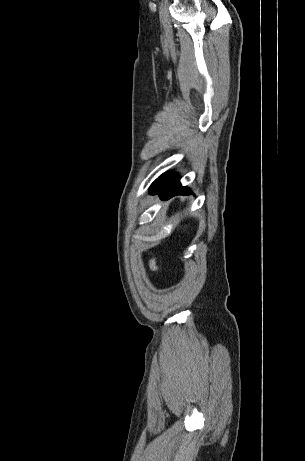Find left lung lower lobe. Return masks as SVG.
<instances>
[{
  "label": "left lung lower lobe",
  "instance_id": "obj_1",
  "mask_svg": "<svg viewBox=\"0 0 305 461\" xmlns=\"http://www.w3.org/2000/svg\"><path fill=\"white\" fill-rule=\"evenodd\" d=\"M150 194L159 193L163 198H170L177 194H189L187 187H182L174 174H162L150 187Z\"/></svg>",
  "mask_w": 305,
  "mask_h": 461
}]
</instances>
